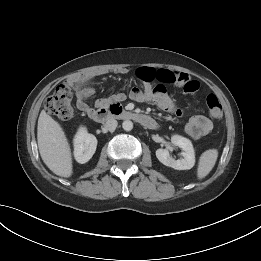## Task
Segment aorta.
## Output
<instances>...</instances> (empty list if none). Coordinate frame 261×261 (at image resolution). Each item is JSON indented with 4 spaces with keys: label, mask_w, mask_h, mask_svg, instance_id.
<instances>
[{
    "label": "aorta",
    "mask_w": 261,
    "mask_h": 261,
    "mask_svg": "<svg viewBox=\"0 0 261 261\" xmlns=\"http://www.w3.org/2000/svg\"><path fill=\"white\" fill-rule=\"evenodd\" d=\"M122 127L125 131H131L133 129V122L130 120H125L122 123Z\"/></svg>",
    "instance_id": "obj_1"
}]
</instances>
